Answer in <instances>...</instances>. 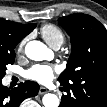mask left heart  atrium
Returning <instances> with one entry per match:
<instances>
[{"label": "left heart atrium", "instance_id": "1", "mask_svg": "<svg viewBox=\"0 0 107 107\" xmlns=\"http://www.w3.org/2000/svg\"><path fill=\"white\" fill-rule=\"evenodd\" d=\"M55 75V68L50 65H34L25 72V77L37 81L41 84H47L52 81Z\"/></svg>", "mask_w": 107, "mask_h": 107}]
</instances>
